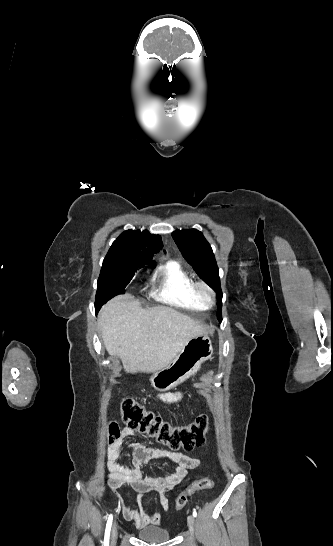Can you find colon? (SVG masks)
Here are the masks:
<instances>
[{"instance_id": "5ec220e1", "label": "colon", "mask_w": 333, "mask_h": 546, "mask_svg": "<svg viewBox=\"0 0 333 546\" xmlns=\"http://www.w3.org/2000/svg\"><path fill=\"white\" fill-rule=\"evenodd\" d=\"M121 418L127 428L138 431L171 449L192 451L203 446L208 430V418L205 414L198 415L188 425L171 426L160 416L146 409L142 404L131 398H125L120 404ZM120 436V427L117 422L109 425V442H115ZM214 481L202 478L194 481L182 491L175 500V508L181 510L187 503L188 497L201 490L211 489Z\"/></svg>"}]
</instances>
